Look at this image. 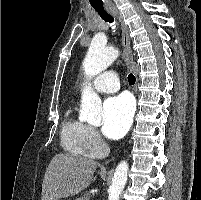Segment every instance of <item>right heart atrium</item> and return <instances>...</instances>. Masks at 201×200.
Instances as JSON below:
<instances>
[{
    "instance_id": "1",
    "label": "right heart atrium",
    "mask_w": 201,
    "mask_h": 200,
    "mask_svg": "<svg viewBox=\"0 0 201 200\" xmlns=\"http://www.w3.org/2000/svg\"><path fill=\"white\" fill-rule=\"evenodd\" d=\"M86 139L88 148L93 154H99L105 148V142L92 126H87L86 128Z\"/></svg>"
}]
</instances>
